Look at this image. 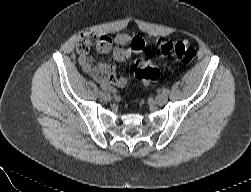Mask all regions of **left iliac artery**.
Masks as SVG:
<instances>
[{"instance_id":"1","label":"left iliac artery","mask_w":251,"mask_h":192,"mask_svg":"<svg viewBox=\"0 0 251 192\" xmlns=\"http://www.w3.org/2000/svg\"><path fill=\"white\" fill-rule=\"evenodd\" d=\"M170 90L168 88H163V93L168 94Z\"/></svg>"}]
</instances>
